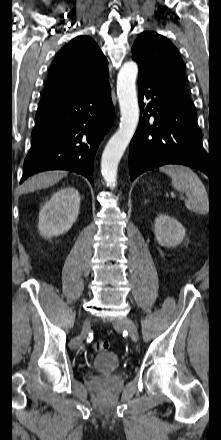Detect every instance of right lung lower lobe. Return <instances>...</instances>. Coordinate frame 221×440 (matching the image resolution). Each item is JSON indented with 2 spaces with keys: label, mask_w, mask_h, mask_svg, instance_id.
Returning a JSON list of instances; mask_svg holds the SVG:
<instances>
[{
  "label": "right lung lower lobe",
  "mask_w": 221,
  "mask_h": 440,
  "mask_svg": "<svg viewBox=\"0 0 221 440\" xmlns=\"http://www.w3.org/2000/svg\"><path fill=\"white\" fill-rule=\"evenodd\" d=\"M113 118L109 84L94 92L42 99L21 183L36 173L63 169L82 174L93 185L94 157Z\"/></svg>",
  "instance_id": "1"
}]
</instances>
